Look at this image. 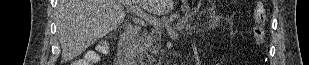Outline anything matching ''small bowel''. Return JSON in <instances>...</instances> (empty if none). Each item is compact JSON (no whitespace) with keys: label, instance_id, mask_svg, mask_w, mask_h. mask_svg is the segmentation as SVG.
<instances>
[{"label":"small bowel","instance_id":"1","mask_svg":"<svg viewBox=\"0 0 309 65\" xmlns=\"http://www.w3.org/2000/svg\"><path fill=\"white\" fill-rule=\"evenodd\" d=\"M97 60H98V56L95 57V60L89 59V60L84 61L83 63H89V64H91V63H93V62H96Z\"/></svg>","mask_w":309,"mask_h":65}]
</instances>
